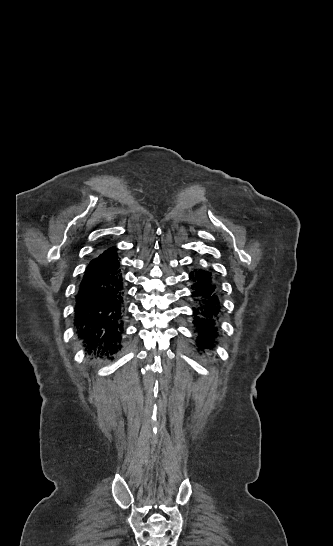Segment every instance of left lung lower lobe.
<instances>
[{"mask_svg":"<svg viewBox=\"0 0 333 546\" xmlns=\"http://www.w3.org/2000/svg\"><path fill=\"white\" fill-rule=\"evenodd\" d=\"M189 278L193 281L192 296L198 303V307L193 308V323L198 333L197 346L200 350L211 349L218 335L215 320L221 311L218 287L211 273L203 269H194Z\"/></svg>","mask_w":333,"mask_h":546,"instance_id":"obj_1","label":"left lung lower lobe"}]
</instances>
